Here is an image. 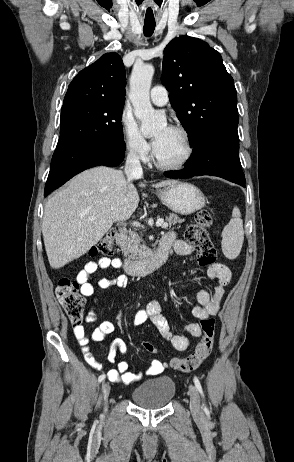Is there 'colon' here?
<instances>
[{
  "mask_svg": "<svg viewBox=\"0 0 294 462\" xmlns=\"http://www.w3.org/2000/svg\"><path fill=\"white\" fill-rule=\"evenodd\" d=\"M212 224V216L206 209L197 212L194 222L185 231V238L197 255L201 266H210L215 263L216 250L209 238L208 229ZM116 232L110 230L95 246L90 255L111 256L115 252L114 237ZM56 296L63 306L70 322L80 326L84 318V298L79 292V284L70 278H61L56 287ZM202 336L193 353L183 359L174 358L171 366L181 372L189 373L197 369L211 354L214 345L215 321L213 318L201 320ZM144 349L149 353H156L155 346L144 342Z\"/></svg>",
  "mask_w": 294,
  "mask_h": 462,
  "instance_id": "colon-1",
  "label": "colon"
}]
</instances>
